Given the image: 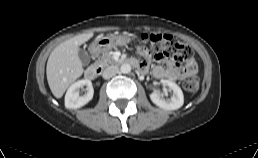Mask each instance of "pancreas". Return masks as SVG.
<instances>
[{
	"label": "pancreas",
	"instance_id": "pancreas-1",
	"mask_svg": "<svg viewBox=\"0 0 258 158\" xmlns=\"http://www.w3.org/2000/svg\"><path fill=\"white\" fill-rule=\"evenodd\" d=\"M113 63H115V60L113 59V57L109 52L103 53L100 59H98L96 62V64L102 68L107 67Z\"/></svg>",
	"mask_w": 258,
	"mask_h": 158
}]
</instances>
